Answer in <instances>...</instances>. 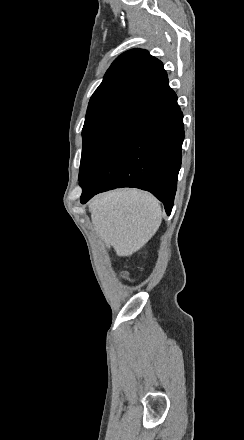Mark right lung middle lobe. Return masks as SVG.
Masks as SVG:
<instances>
[{"instance_id":"dd1d6c3e","label":"right lung middle lobe","mask_w":244,"mask_h":440,"mask_svg":"<svg viewBox=\"0 0 244 440\" xmlns=\"http://www.w3.org/2000/svg\"><path fill=\"white\" fill-rule=\"evenodd\" d=\"M140 100L132 96H119L108 100L89 102L82 130L83 150L79 180L105 138L119 120Z\"/></svg>"}]
</instances>
